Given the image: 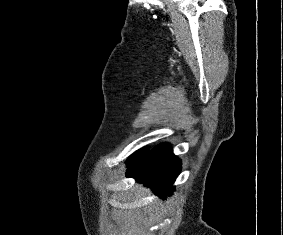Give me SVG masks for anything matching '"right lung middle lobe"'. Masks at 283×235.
<instances>
[{
	"label": "right lung middle lobe",
	"instance_id": "obj_1",
	"mask_svg": "<svg viewBox=\"0 0 283 235\" xmlns=\"http://www.w3.org/2000/svg\"><path fill=\"white\" fill-rule=\"evenodd\" d=\"M147 152V149H142L140 150L136 155H133L130 159L129 162H133L139 158H141L142 156H144Z\"/></svg>",
	"mask_w": 283,
	"mask_h": 235
}]
</instances>
